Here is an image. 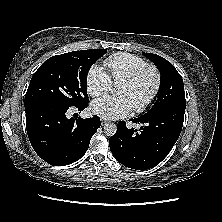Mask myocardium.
<instances>
[{"mask_svg": "<svg viewBox=\"0 0 222 222\" xmlns=\"http://www.w3.org/2000/svg\"><path fill=\"white\" fill-rule=\"evenodd\" d=\"M147 71L153 72V74L155 76V85H154V88H153L151 94L149 95V97L142 104L133 107V110L138 113L145 111L153 103V101L157 97V95L160 91V88H161V83H162V77H161L160 70L154 65L147 64V65L137 69L135 72H133L131 75H129L127 78H125L124 80H122L119 83V85L120 84L132 85Z\"/></svg>", "mask_w": 222, "mask_h": 222, "instance_id": "1", "label": "myocardium"}]
</instances>
